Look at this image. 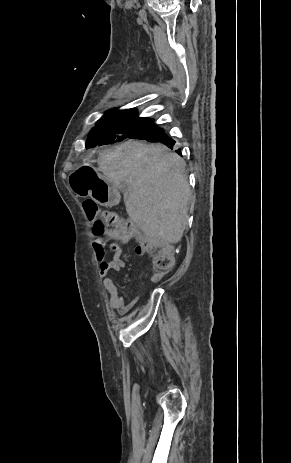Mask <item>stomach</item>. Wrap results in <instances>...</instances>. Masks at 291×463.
<instances>
[{
    "instance_id": "1",
    "label": "stomach",
    "mask_w": 291,
    "mask_h": 463,
    "mask_svg": "<svg viewBox=\"0 0 291 463\" xmlns=\"http://www.w3.org/2000/svg\"><path fill=\"white\" fill-rule=\"evenodd\" d=\"M69 184L78 196H90L100 205L113 206L118 202L116 187L88 166L71 174Z\"/></svg>"
}]
</instances>
